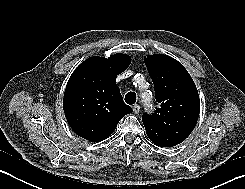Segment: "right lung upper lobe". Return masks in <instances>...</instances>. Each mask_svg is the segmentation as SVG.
Returning a JSON list of instances; mask_svg holds the SVG:
<instances>
[{"label": "right lung upper lobe", "mask_w": 245, "mask_h": 189, "mask_svg": "<svg viewBox=\"0 0 245 189\" xmlns=\"http://www.w3.org/2000/svg\"><path fill=\"white\" fill-rule=\"evenodd\" d=\"M131 63V57L114 54L94 56L71 75L64 93L63 109L73 131L91 142L109 137L123 116L132 112L116 85V77Z\"/></svg>", "instance_id": "1"}]
</instances>
